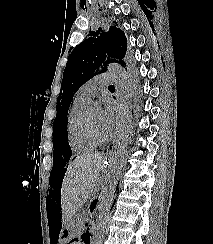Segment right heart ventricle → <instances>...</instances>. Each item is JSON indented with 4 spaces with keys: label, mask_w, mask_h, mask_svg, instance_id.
<instances>
[{
    "label": "right heart ventricle",
    "mask_w": 213,
    "mask_h": 244,
    "mask_svg": "<svg viewBox=\"0 0 213 244\" xmlns=\"http://www.w3.org/2000/svg\"><path fill=\"white\" fill-rule=\"evenodd\" d=\"M89 101L77 93L67 115L68 143L71 149L77 153L90 152L98 146L86 126V110Z\"/></svg>",
    "instance_id": "e07e8e85"
}]
</instances>
